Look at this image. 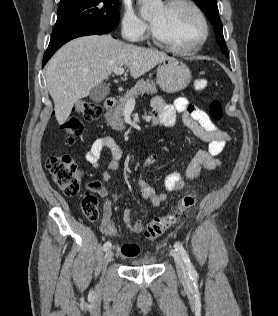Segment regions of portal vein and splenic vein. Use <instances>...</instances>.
<instances>
[{"instance_id": "portal-vein-and-splenic-vein-1", "label": "portal vein and splenic vein", "mask_w": 278, "mask_h": 316, "mask_svg": "<svg viewBox=\"0 0 278 316\" xmlns=\"http://www.w3.org/2000/svg\"><path fill=\"white\" fill-rule=\"evenodd\" d=\"M114 73L116 75H122L124 73V69L123 68H117L114 70ZM129 104H135V99L134 98H131L129 101H128Z\"/></svg>"}]
</instances>
